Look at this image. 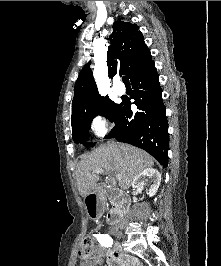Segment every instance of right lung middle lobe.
<instances>
[{
	"label": "right lung middle lobe",
	"instance_id": "dd1d6c3e",
	"mask_svg": "<svg viewBox=\"0 0 221 266\" xmlns=\"http://www.w3.org/2000/svg\"><path fill=\"white\" fill-rule=\"evenodd\" d=\"M120 104H115L108 96L100 98L95 104L94 108L86 113L80 114L71 119L72 136L75 143H83L89 147L93 146L88 143V131L91 127V122L94 117L101 115L107 117L111 122H114Z\"/></svg>",
	"mask_w": 221,
	"mask_h": 266
}]
</instances>
